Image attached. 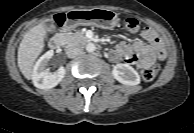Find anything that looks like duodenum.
Masks as SVG:
<instances>
[{"label":"duodenum","mask_w":194,"mask_h":133,"mask_svg":"<svg viewBox=\"0 0 194 133\" xmlns=\"http://www.w3.org/2000/svg\"><path fill=\"white\" fill-rule=\"evenodd\" d=\"M66 28H68V26ZM76 42L77 43H80V42H82V43H85V42L92 43L93 40L90 39V38H86V39L85 38H82V39L77 38ZM62 44H63V35L62 34H57V35H55L54 37L51 38V40L49 42V47L53 50H58L59 48H61Z\"/></svg>","instance_id":"duodenum-1"}]
</instances>
